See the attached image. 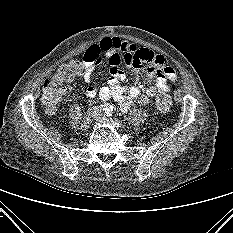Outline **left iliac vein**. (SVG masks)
Masks as SVG:
<instances>
[{
    "mask_svg": "<svg viewBox=\"0 0 233 233\" xmlns=\"http://www.w3.org/2000/svg\"><path fill=\"white\" fill-rule=\"evenodd\" d=\"M95 120L98 122V123H104V124H110L111 122L109 120H107L106 118H104L102 116L101 113H98L96 116H95Z\"/></svg>",
    "mask_w": 233,
    "mask_h": 233,
    "instance_id": "1",
    "label": "left iliac vein"
}]
</instances>
